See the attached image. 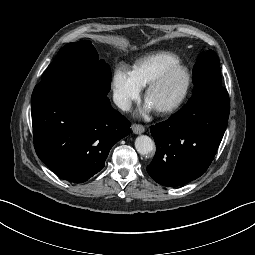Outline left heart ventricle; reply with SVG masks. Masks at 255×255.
<instances>
[{"mask_svg": "<svg viewBox=\"0 0 255 255\" xmlns=\"http://www.w3.org/2000/svg\"><path fill=\"white\" fill-rule=\"evenodd\" d=\"M186 83V75L183 71L172 72L163 83L150 93L147 103L157 109L176 100L182 93Z\"/></svg>", "mask_w": 255, "mask_h": 255, "instance_id": "1", "label": "left heart ventricle"}]
</instances>
